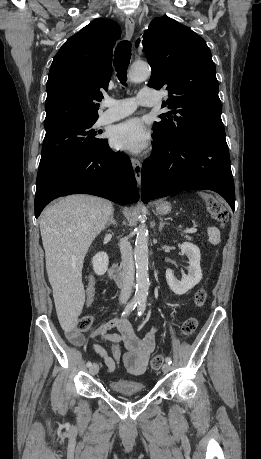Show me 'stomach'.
Here are the masks:
<instances>
[{
    "instance_id": "stomach-1",
    "label": "stomach",
    "mask_w": 261,
    "mask_h": 459,
    "mask_svg": "<svg viewBox=\"0 0 261 459\" xmlns=\"http://www.w3.org/2000/svg\"><path fill=\"white\" fill-rule=\"evenodd\" d=\"M170 210L171 205L169 202H161L156 205V211L161 215L168 214Z\"/></svg>"
}]
</instances>
